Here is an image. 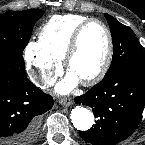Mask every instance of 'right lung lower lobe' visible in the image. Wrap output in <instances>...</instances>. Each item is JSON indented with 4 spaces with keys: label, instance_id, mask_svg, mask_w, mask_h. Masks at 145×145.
Instances as JSON below:
<instances>
[{
    "label": "right lung lower lobe",
    "instance_id": "obj_1",
    "mask_svg": "<svg viewBox=\"0 0 145 145\" xmlns=\"http://www.w3.org/2000/svg\"><path fill=\"white\" fill-rule=\"evenodd\" d=\"M53 98L31 83L22 54L0 56V145H31Z\"/></svg>",
    "mask_w": 145,
    "mask_h": 145
}]
</instances>
